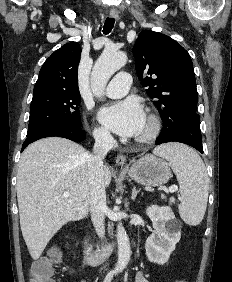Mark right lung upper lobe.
<instances>
[{"label": "right lung upper lobe", "mask_w": 232, "mask_h": 282, "mask_svg": "<svg viewBox=\"0 0 232 282\" xmlns=\"http://www.w3.org/2000/svg\"><path fill=\"white\" fill-rule=\"evenodd\" d=\"M81 48L77 42L65 44L43 64L33 92H79L77 70Z\"/></svg>", "instance_id": "cb5924a9"}]
</instances>
